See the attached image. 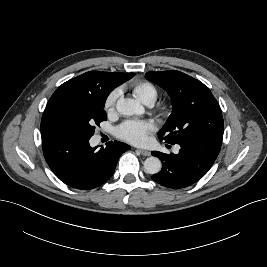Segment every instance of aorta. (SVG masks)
Here are the masks:
<instances>
[{
    "instance_id": "762f6f07",
    "label": "aorta",
    "mask_w": 267,
    "mask_h": 267,
    "mask_svg": "<svg viewBox=\"0 0 267 267\" xmlns=\"http://www.w3.org/2000/svg\"><path fill=\"white\" fill-rule=\"evenodd\" d=\"M117 111L125 116H132L135 114H143V106L134 99L131 98H119L116 103ZM162 167L159 158L151 156L148 157L144 162V169L149 174H157L160 172Z\"/></svg>"
}]
</instances>
